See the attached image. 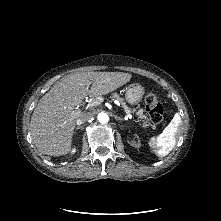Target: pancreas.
Returning a JSON list of instances; mask_svg holds the SVG:
<instances>
[{
  "label": "pancreas",
  "instance_id": "pancreas-1",
  "mask_svg": "<svg viewBox=\"0 0 221 221\" xmlns=\"http://www.w3.org/2000/svg\"><path fill=\"white\" fill-rule=\"evenodd\" d=\"M112 97L117 99L121 105L124 107L125 110L130 111V109L126 106V103L123 101V99L117 94H112ZM133 111H136L135 109ZM136 114L138 115V118L141 122H143V127H154V125L151 123V120L147 117V115L144 114V111L142 109H139Z\"/></svg>",
  "mask_w": 221,
  "mask_h": 221
}]
</instances>
